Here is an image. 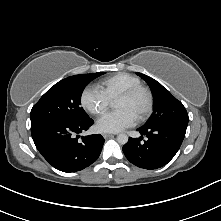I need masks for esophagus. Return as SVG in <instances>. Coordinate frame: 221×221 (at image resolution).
Listing matches in <instances>:
<instances>
[{"mask_svg": "<svg viewBox=\"0 0 221 221\" xmlns=\"http://www.w3.org/2000/svg\"><path fill=\"white\" fill-rule=\"evenodd\" d=\"M102 135H103L104 138H109V137L113 136L114 134H112V133H103Z\"/></svg>", "mask_w": 221, "mask_h": 221, "instance_id": "esophagus-1", "label": "esophagus"}]
</instances>
